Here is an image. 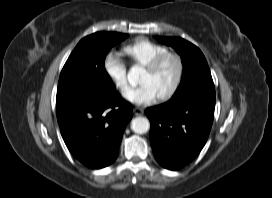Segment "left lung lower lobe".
<instances>
[{"label":"left lung lower lobe","mask_w":272,"mask_h":198,"mask_svg":"<svg viewBox=\"0 0 272 198\" xmlns=\"http://www.w3.org/2000/svg\"><path fill=\"white\" fill-rule=\"evenodd\" d=\"M214 89H196L147 108L150 141L157 162L169 170L189 164L204 147L212 126Z\"/></svg>","instance_id":"obj_1"}]
</instances>
